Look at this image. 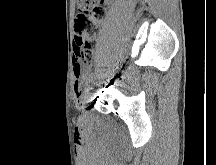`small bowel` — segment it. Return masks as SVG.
Segmentation results:
<instances>
[{
    "label": "small bowel",
    "mask_w": 216,
    "mask_h": 165,
    "mask_svg": "<svg viewBox=\"0 0 216 165\" xmlns=\"http://www.w3.org/2000/svg\"><path fill=\"white\" fill-rule=\"evenodd\" d=\"M84 73L83 66L79 64L76 60L73 63V74L75 78V92L77 95L81 94V81Z\"/></svg>",
    "instance_id": "small-bowel-1"
}]
</instances>
